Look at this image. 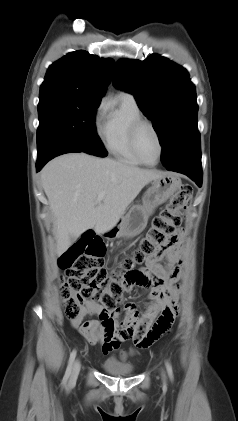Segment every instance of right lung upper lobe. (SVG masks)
Returning a JSON list of instances; mask_svg holds the SVG:
<instances>
[{
    "label": "right lung upper lobe",
    "instance_id": "obj_1",
    "mask_svg": "<svg viewBox=\"0 0 238 421\" xmlns=\"http://www.w3.org/2000/svg\"><path fill=\"white\" fill-rule=\"evenodd\" d=\"M115 61L79 50L70 52L47 70L40 90H59L102 97Z\"/></svg>",
    "mask_w": 238,
    "mask_h": 421
}]
</instances>
